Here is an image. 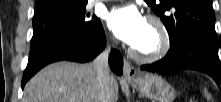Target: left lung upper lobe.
Wrapping results in <instances>:
<instances>
[{"mask_svg":"<svg viewBox=\"0 0 221 102\" xmlns=\"http://www.w3.org/2000/svg\"><path fill=\"white\" fill-rule=\"evenodd\" d=\"M147 3L165 25L170 44L185 36H197L218 46L212 0H160L159 5L149 0Z\"/></svg>","mask_w":221,"mask_h":102,"instance_id":"obj_1","label":"left lung upper lobe"}]
</instances>
